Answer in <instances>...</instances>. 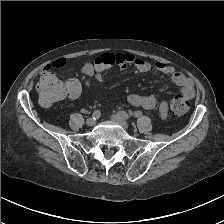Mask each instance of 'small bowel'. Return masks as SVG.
<instances>
[{
	"label": "small bowel",
	"instance_id": "c3829d8e",
	"mask_svg": "<svg viewBox=\"0 0 224 224\" xmlns=\"http://www.w3.org/2000/svg\"><path fill=\"white\" fill-rule=\"evenodd\" d=\"M65 64L66 59L58 58L45 65L40 73V81L50 77L55 78L52 73V69L62 68L65 66ZM110 65L117 66L121 70L126 69L128 66H132L139 72L152 71L155 74H164L171 79L173 84L180 87L183 96L188 99H192L195 95L194 84L192 80L187 78L181 72L177 71L174 67L163 62H150L130 53H104L97 57L94 62H87L83 66L82 72L85 75L94 76L98 80L103 81V71ZM127 100L132 106L142 107L147 110L153 109L157 104V98L153 94L141 95L133 93L128 96ZM159 111L162 118L167 116L168 104L165 101L160 103Z\"/></svg>",
	"mask_w": 224,
	"mask_h": 224
}]
</instances>
